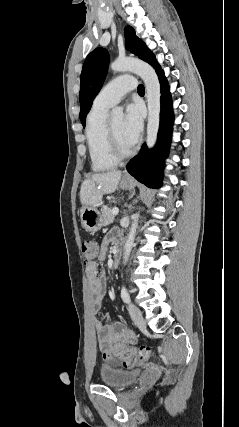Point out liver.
Instances as JSON below:
<instances>
[{
	"label": "liver",
	"instance_id": "1",
	"mask_svg": "<svg viewBox=\"0 0 239 427\" xmlns=\"http://www.w3.org/2000/svg\"><path fill=\"white\" fill-rule=\"evenodd\" d=\"M121 171L111 170L103 173H96L91 178L86 179L80 190V202L84 206H97L103 195L113 193L121 179Z\"/></svg>",
	"mask_w": 239,
	"mask_h": 427
}]
</instances>
